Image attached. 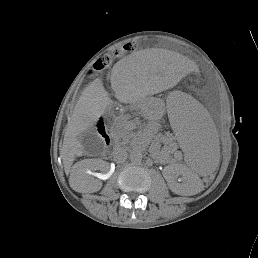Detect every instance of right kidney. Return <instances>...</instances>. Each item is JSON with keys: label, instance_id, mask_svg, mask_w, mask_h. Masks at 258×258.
<instances>
[{"label": "right kidney", "instance_id": "1", "mask_svg": "<svg viewBox=\"0 0 258 258\" xmlns=\"http://www.w3.org/2000/svg\"><path fill=\"white\" fill-rule=\"evenodd\" d=\"M83 167H86V169H82ZM105 167V162L102 160H98L97 161V165L91 164L90 162L84 163L81 168H79V171H83L85 175L90 174L89 173V168L91 169H103ZM74 175H76L77 173H73ZM101 183L98 182L97 184L91 186V188L89 189L88 192H96L99 191L101 189Z\"/></svg>", "mask_w": 258, "mask_h": 258}]
</instances>
